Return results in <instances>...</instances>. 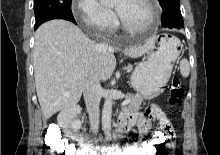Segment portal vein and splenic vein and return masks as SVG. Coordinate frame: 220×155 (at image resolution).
I'll return each mask as SVG.
<instances>
[{
  "label": "portal vein and splenic vein",
  "instance_id": "portal-vein-and-splenic-vein-1",
  "mask_svg": "<svg viewBox=\"0 0 220 155\" xmlns=\"http://www.w3.org/2000/svg\"><path fill=\"white\" fill-rule=\"evenodd\" d=\"M65 96H69V94H65ZM130 101L129 100H124L122 103H121V106H125L129 103Z\"/></svg>",
  "mask_w": 220,
  "mask_h": 155
}]
</instances>
